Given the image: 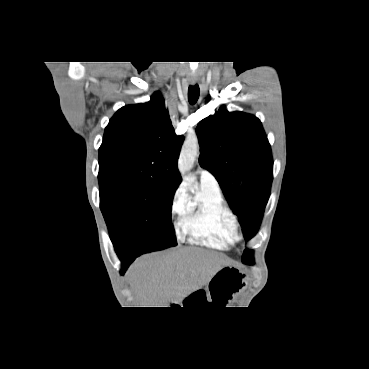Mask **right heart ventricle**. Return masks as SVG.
<instances>
[{"label": "right heart ventricle", "mask_w": 369, "mask_h": 369, "mask_svg": "<svg viewBox=\"0 0 369 369\" xmlns=\"http://www.w3.org/2000/svg\"><path fill=\"white\" fill-rule=\"evenodd\" d=\"M179 228L191 243L214 249L228 248L238 239L233 214L220 189L204 185L187 199Z\"/></svg>", "instance_id": "1"}]
</instances>
